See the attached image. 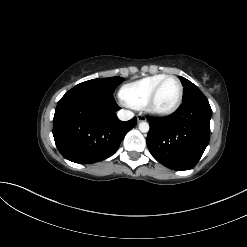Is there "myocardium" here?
I'll return each mask as SVG.
<instances>
[{
  "label": "myocardium",
  "instance_id": "myocardium-1",
  "mask_svg": "<svg viewBox=\"0 0 247 247\" xmlns=\"http://www.w3.org/2000/svg\"><path fill=\"white\" fill-rule=\"evenodd\" d=\"M168 79H175L177 81V83L179 85L178 99H177L176 103L171 108H169L167 110H157L154 108L155 99L157 97V94H158L161 86ZM183 95H184V87H183L181 80L175 75H166L164 78H162L156 84V86L154 87V89L152 90L150 95L148 96V98L145 102L144 108L148 113H150L154 116L167 117V116L174 114L179 109V107L181 106L182 101H183Z\"/></svg>",
  "mask_w": 247,
  "mask_h": 247
}]
</instances>
